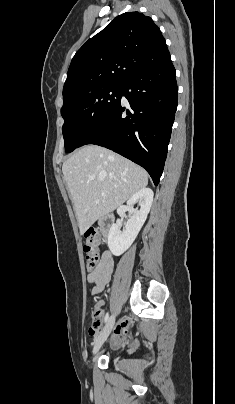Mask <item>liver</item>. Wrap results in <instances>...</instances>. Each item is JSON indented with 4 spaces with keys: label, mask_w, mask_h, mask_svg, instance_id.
<instances>
[{
    "label": "liver",
    "mask_w": 235,
    "mask_h": 404,
    "mask_svg": "<svg viewBox=\"0 0 235 404\" xmlns=\"http://www.w3.org/2000/svg\"><path fill=\"white\" fill-rule=\"evenodd\" d=\"M62 172L81 234L148 184L143 168L97 145L75 151L63 163Z\"/></svg>",
    "instance_id": "liver-1"
}]
</instances>
